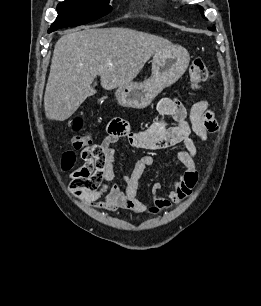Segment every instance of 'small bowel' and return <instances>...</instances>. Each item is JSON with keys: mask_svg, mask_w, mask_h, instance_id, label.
Segmentation results:
<instances>
[{"mask_svg": "<svg viewBox=\"0 0 261 306\" xmlns=\"http://www.w3.org/2000/svg\"><path fill=\"white\" fill-rule=\"evenodd\" d=\"M158 111L163 117L173 119L177 124L168 126L165 120H159L147 128L132 130L126 121L113 120L108 125L107 135L100 144L106 155L105 164L97 168L91 159L82 157L85 163L77 170L94 184L93 188L80 193L85 203L105 212L124 209L136 214L157 213L169 209L173 204L180 205L191 194L197 183L195 164L197 146L192 135L201 141H206L208 135L217 130L214 114L205 99L196 101L187 111L181 101L169 97L159 101ZM121 138H126L129 145L136 149L160 150L178 144L183 146L182 150L176 152V158L185 167V171L175 181L173 188L166 193V197L159 194L161 185L154 184L152 207H147L137 197L141 177L145 170L154 164L152 156H142L131 173L123 176L124 188L113 182L115 149L112 145Z\"/></svg>", "mask_w": 261, "mask_h": 306, "instance_id": "small-bowel-1", "label": "small bowel"}]
</instances>
